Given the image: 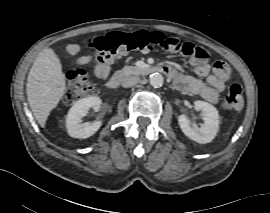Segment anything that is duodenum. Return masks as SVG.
<instances>
[{"label": "duodenum", "mask_w": 270, "mask_h": 213, "mask_svg": "<svg viewBox=\"0 0 270 213\" xmlns=\"http://www.w3.org/2000/svg\"><path fill=\"white\" fill-rule=\"evenodd\" d=\"M144 72H158L167 76L168 78L172 77V72L168 69L166 65L151 66L148 69H144ZM125 76H126L125 71L123 70L119 71L116 75H114L112 78L108 80V82L106 83V89L108 90L116 89L119 86L121 80L125 78Z\"/></svg>", "instance_id": "obj_1"}]
</instances>
